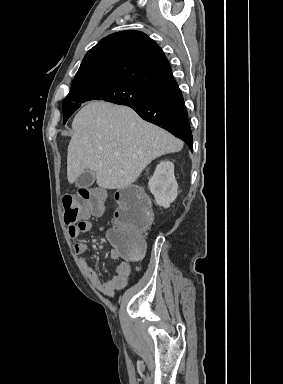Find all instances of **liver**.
Returning a JSON list of instances; mask_svg holds the SVG:
<instances>
[{
  "label": "liver",
  "instance_id": "liver-1",
  "mask_svg": "<svg viewBox=\"0 0 283 384\" xmlns=\"http://www.w3.org/2000/svg\"><path fill=\"white\" fill-rule=\"evenodd\" d=\"M67 178L74 184L84 170L95 172L100 188L122 190L159 156L180 152L183 142L144 122L127 106L88 102L72 122ZM117 154V156H116Z\"/></svg>",
  "mask_w": 283,
  "mask_h": 384
}]
</instances>
